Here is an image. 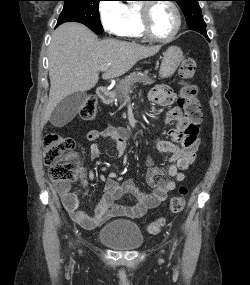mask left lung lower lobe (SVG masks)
<instances>
[{"mask_svg":"<svg viewBox=\"0 0 250 285\" xmlns=\"http://www.w3.org/2000/svg\"><path fill=\"white\" fill-rule=\"evenodd\" d=\"M202 34L209 40L207 33H202Z\"/></svg>","mask_w":250,"mask_h":285,"instance_id":"0a47b994","label":"left lung lower lobe"}]
</instances>
